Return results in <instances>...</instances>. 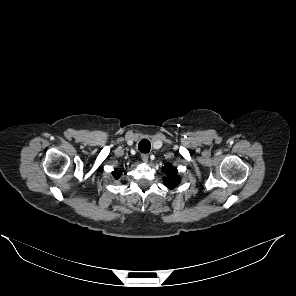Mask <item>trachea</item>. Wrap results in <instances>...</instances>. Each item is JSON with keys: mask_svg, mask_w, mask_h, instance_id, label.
<instances>
[{"mask_svg": "<svg viewBox=\"0 0 296 296\" xmlns=\"http://www.w3.org/2000/svg\"><path fill=\"white\" fill-rule=\"evenodd\" d=\"M138 149L142 153H148L151 149V143L147 139H142L138 144Z\"/></svg>", "mask_w": 296, "mask_h": 296, "instance_id": "3493384b", "label": "trachea"}]
</instances>
